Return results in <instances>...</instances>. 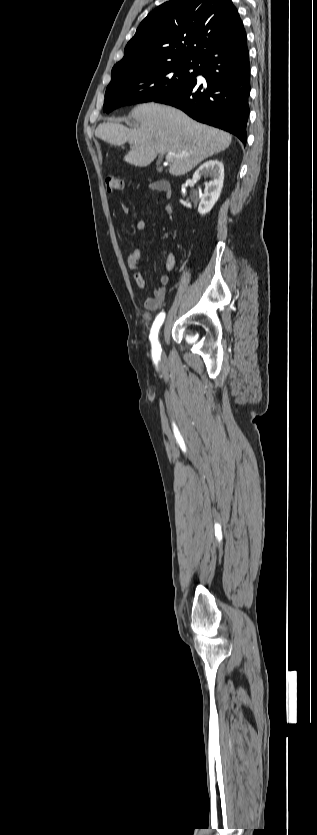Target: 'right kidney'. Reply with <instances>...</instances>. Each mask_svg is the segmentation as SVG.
<instances>
[{
    "mask_svg": "<svg viewBox=\"0 0 317 835\" xmlns=\"http://www.w3.org/2000/svg\"><path fill=\"white\" fill-rule=\"evenodd\" d=\"M201 176H209L212 178L211 181L206 183L204 195L198 207V213L204 215L211 211L219 199L224 180L223 163L217 159L206 161L194 173L192 178L193 182H197Z\"/></svg>",
    "mask_w": 317,
    "mask_h": 835,
    "instance_id": "right-kidney-1",
    "label": "right kidney"
}]
</instances>
